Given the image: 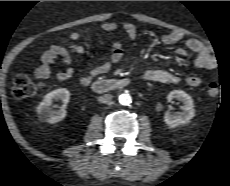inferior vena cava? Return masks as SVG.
<instances>
[{
  "label": "inferior vena cava",
  "instance_id": "obj_1",
  "mask_svg": "<svg viewBox=\"0 0 230 186\" xmlns=\"http://www.w3.org/2000/svg\"><path fill=\"white\" fill-rule=\"evenodd\" d=\"M112 100V95L111 94H104L100 97H98V101L100 103H108Z\"/></svg>",
  "mask_w": 230,
  "mask_h": 186
}]
</instances>
